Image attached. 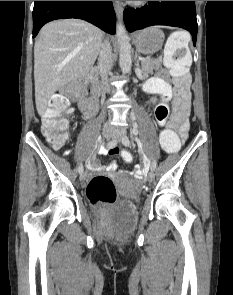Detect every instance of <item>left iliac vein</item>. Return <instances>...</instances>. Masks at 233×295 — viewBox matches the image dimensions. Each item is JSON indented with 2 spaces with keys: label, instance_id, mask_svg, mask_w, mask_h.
<instances>
[{
  "label": "left iliac vein",
  "instance_id": "left-iliac-vein-1",
  "mask_svg": "<svg viewBox=\"0 0 233 295\" xmlns=\"http://www.w3.org/2000/svg\"><path fill=\"white\" fill-rule=\"evenodd\" d=\"M125 137H126L125 134H113V135H112V139H113L114 141H116V142H120V143H123V144H124L123 140H124ZM124 145H125V146H129V145H127V144H124ZM147 180H148L149 182H152V181L154 180V173H153L152 171H150V172L148 173V175H147Z\"/></svg>",
  "mask_w": 233,
  "mask_h": 295
}]
</instances>
